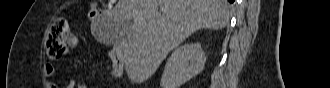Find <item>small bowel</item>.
<instances>
[{
	"label": "small bowel",
	"instance_id": "obj_1",
	"mask_svg": "<svg viewBox=\"0 0 330 88\" xmlns=\"http://www.w3.org/2000/svg\"><path fill=\"white\" fill-rule=\"evenodd\" d=\"M77 46H78L77 39H73V41L67 46V49L70 50V51H74V50H76ZM113 52H115L114 48H112L110 50L109 55ZM121 62H122V58H121ZM56 73H57V69L53 64L47 63V64L44 65V74L46 76H52V75H55ZM75 84H76V82H75L74 79H69L67 81L66 87L67 88H74ZM50 88H58V86H57L56 83H51ZM80 88H87V86L84 83H82L80 85Z\"/></svg>",
	"mask_w": 330,
	"mask_h": 88
}]
</instances>
